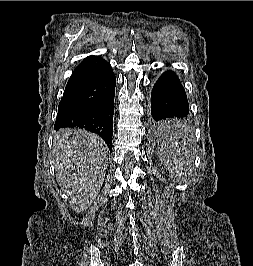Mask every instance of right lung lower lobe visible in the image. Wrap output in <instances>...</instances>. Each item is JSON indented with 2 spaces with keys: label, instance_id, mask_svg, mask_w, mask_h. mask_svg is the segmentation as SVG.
<instances>
[{
  "label": "right lung lower lobe",
  "instance_id": "1",
  "mask_svg": "<svg viewBox=\"0 0 253 266\" xmlns=\"http://www.w3.org/2000/svg\"><path fill=\"white\" fill-rule=\"evenodd\" d=\"M116 78L103 58L89 56L73 71L59 103L55 130L79 127L98 134L112 149Z\"/></svg>",
  "mask_w": 253,
  "mask_h": 266
}]
</instances>
